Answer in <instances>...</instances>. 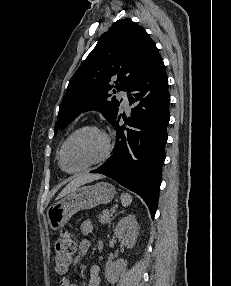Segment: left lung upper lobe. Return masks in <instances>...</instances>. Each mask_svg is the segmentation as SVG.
I'll use <instances>...</instances> for the list:
<instances>
[{"label": "left lung upper lobe", "instance_id": "5c2ea615", "mask_svg": "<svg viewBox=\"0 0 231 286\" xmlns=\"http://www.w3.org/2000/svg\"><path fill=\"white\" fill-rule=\"evenodd\" d=\"M160 58L154 41L141 26L129 18L115 22L71 78L54 134L90 109L99 110L112 123L120 102L108 92L113 88L114 93L127 91Z\"/></svg>", "mask_w": 231, "mask_h": 286}]
</instances>
